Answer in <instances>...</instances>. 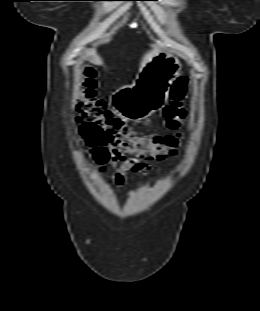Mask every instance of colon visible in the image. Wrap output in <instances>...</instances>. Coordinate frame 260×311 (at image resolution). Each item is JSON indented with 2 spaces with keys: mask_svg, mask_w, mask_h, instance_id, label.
<instances>
[{
  "mask_svg": "<svg viewBox=\"0 0 260 311\" xmlns=\"http://www.w3.org/2000/svg\"><path fill=\"white\" fill-rule=\"evenodd\" d=\"M96 71L86 68L78 85L76 108L80 131L91 155L99 165H104L109 157L133 156L143 162L162 161L175 155L180 146L181 129L186 123V100L188 80L178 79L171 89L170 102L163 109V118L172 134L163 136L142 135L132 127L113 116L106 103L95 95ZM107 146L112 148L111 154Z\"/></svg>",
  "mask_w": 260,
  "mask_h": 311,
  "instance_id": "colon-1",
  "label": "colon"
}]
</instances>
